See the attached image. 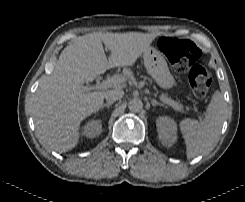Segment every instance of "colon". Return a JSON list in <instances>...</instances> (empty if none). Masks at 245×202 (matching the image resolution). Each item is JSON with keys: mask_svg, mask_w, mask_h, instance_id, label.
I'll list each match as a JSON object with an SVG mask.
<instances>
[{"mask_svg": "<svg viewBox=\"0 0 245 202\" xmlns=\"http://www.w3.org/2000/svg\"><path fill=\"white\" fill-rule=\"evenodd\" d=\"M159 46L177 72L187 73L192 92L198 97L205 96L211 88L212 75L199 64V48L175 36L162 37Z\"/></svg>", "mask_w": 245, "mask_h": 202, "instance_id": "colon-1", "label": "colon"}]
</instances>
